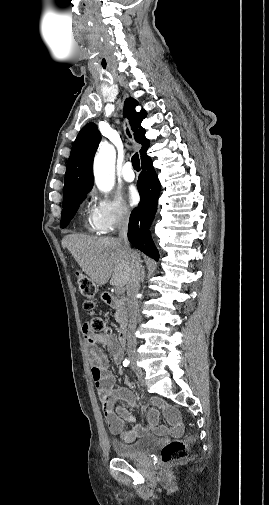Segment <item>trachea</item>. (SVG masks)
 I'll list each match as a JSON object with an SVG mask.
<instances>
[{
	"label": "trachea",
	"instance_id": "3493384b",
	"mask_svg": "<svg viewBox=\"0 0 269 505\" xmlns=\"http://www.w3.org/2000/svg\"><path fill=\"white\" fill-rule=\"evenodd\" d=\"M127 134L129 135V137H131V134L129 132V130L127 129ZM132 165H133V168L135 170H140V160H139V155L138 153H135L133 156H132Z\"/></svg>",
	"mask_w": 269,
	"mask_h": 505
}]
</instances>
